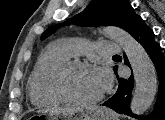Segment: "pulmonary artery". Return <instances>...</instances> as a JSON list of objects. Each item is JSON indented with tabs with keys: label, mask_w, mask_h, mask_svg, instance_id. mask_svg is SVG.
Wrapping results in <instances>:
<instances>
[{
	"label": "pulmonary artery",
	"mask_w": 165,
	"mask_h": 120,
	"mask_svg": "<svg viewBox=\"0 0 165 120\" xmlns=\"http://www.w3.org/2000/svg\"><path fill=\"white\" fill-rule=\"evenodd\" d=\"M55 48L61 51L64 55L70 57L91 50V47L84 42L77 40H62L59 41ZM97 53L102 56H113L122 52L121 45L114 42H100L96 45Z\"/></svg>",
	"instance_id": "pulmonary-artery-1"
}]
</instances>
